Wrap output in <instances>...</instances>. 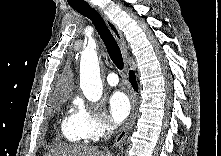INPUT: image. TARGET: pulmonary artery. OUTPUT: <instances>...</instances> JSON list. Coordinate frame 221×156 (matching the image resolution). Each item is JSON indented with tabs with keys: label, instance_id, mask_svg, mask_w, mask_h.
<instances>
[{
	"label": "pulmonary artery",
	"instance_id": "1",
	"mask_svg": "<svg viewBox=\"0 0 221 156\" xmlns=\"http://www.w3.org/2000/svg\"><path fill=\"white\" fill-rule=\"evenodd\" d=\"M107 83L110 85V86H116L118 84V76L116 73L114 72H111L107 75Z\"/></svg>",
	"mask_w": 221,
	"mask_h": 156
}]
</instances>
